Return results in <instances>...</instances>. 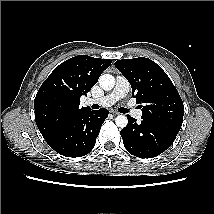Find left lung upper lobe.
I'll use <instances>...</instances> for the list:
<instances>
[{"instance_id":"left-lung-upper-lobe-1","label":"left lung upper lobe","mask_w":214,"mask_h":214,"mask_svg":"<svg viewBox=\"0 0 214 214\" xmlns=\"http://www.w3.org/2000/svg\"><path fill=\"white\" fill-rule=\"evenodd\" d=\"M117 69L129 81L138 103H144L142 118L182 126L184 105L164 70L148 58L118 60Z\"/></svg>"}]
</instances>
